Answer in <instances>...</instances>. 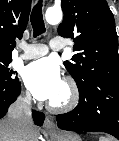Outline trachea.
<instances>
[{
	"mask_svg": "<svg viewBox=\"0 0 119 141\" xmlns=\"http://www.w3.org/2000/svg\"><path fill=\"white\" fill-rule=\"evenodd\" d=\"M30 21L34 31V37L45 32V25L42 15V1H39L33 8Z\"/></svg>",
	"mask_w": 119,
	"mask_h": 141,
	"instance_id": "trachea-1",
	"label": "trachea"
}]
</instances>
